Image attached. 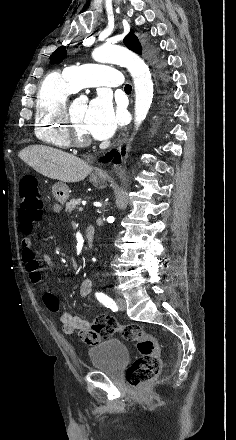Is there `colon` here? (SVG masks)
<instances>
[{
    "label": "colon",
    "instance_id": "colon-1",
    "mask_svg": "<svg viewBox=\"0 0 236 440\" xmlns=\"http://www.w3.org/2000/svg\"><path fill=\"white\" fill-rule=\"evenodd\" d=\"M19 195L21 198L19 220L22 230L30 232L33 224L39 222L44 213V202L34 176L25 175L21 179ZM46 305L54 312L60 308V302L56 296H48ZM91 330L97 331V338L84 339L85 341H98L120 333L125 340L137 343L139 356L126 371V380L131 387H138L159 375L162 361L158 342L152 334L145 332L139 325L132 323L121 325L113 317L102 315L96 317Z\"/></svg>",
    "mask_w": 236,
    "mask_h": 440
}]
</instances>
